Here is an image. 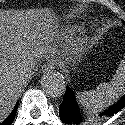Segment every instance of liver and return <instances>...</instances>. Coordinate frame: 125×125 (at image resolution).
I'll return each instance as SVG.
<instances>
[{
    "mask_svg": "<svg viewBox=\"0 0 125 125\" xmlns=\"http://www.w3.org/2000/svg\"><path fill=\"white\" fill-rule=\"evenodd\" d=\"M0 13H2L0 11ZM55 18L51 13L35 18L34 26L46 33ZM7 20L0 14V123L9 114L18 99L24 81L20 79L22 60L27 56L20 45L12 44V34L7 30ZM24 53V54H23Z\"/></svg>",
    "mask_w": 125,
    "mask_h": 125,
    "instance_id": "6515ba94",
    "label": "liver"
}]
</instances>
